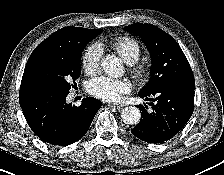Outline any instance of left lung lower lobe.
<instances>
[{
	"label": "left lung lower lobe",
	"mask_w": 224,
	"mask_h": 175,
	"mask_svg": "<svg viewBox=\"0 0 224 175\" xmlns=\"http://www.w3.org/2000/svg\"><path fill=\"white\" fill-rule=\"evenodd\" d=\"M195 83H167L141 98L153 101L148 106L138 105L140 122L131 130L132 134L147 143H163L173 138L188 122L194 110Z\"/></svg>",
	"instance_id": "1"
}]
</instances>
